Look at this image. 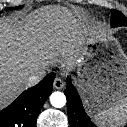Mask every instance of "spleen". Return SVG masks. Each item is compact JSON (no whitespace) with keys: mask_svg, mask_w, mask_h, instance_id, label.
Wrapping results in <instances>:
<instances>
[{"mask_svg":"<svg viewBox=\"0 0 127 127\" xmlns=\"http://www.w3.org/2000/svg\"><path fill=\"white\" fill-rule=\"evenodd\" d=\"M95 121L107 127H119L127 121V97L122 99L118 104L99 111L94 116Z\"/></svg>","mask_w":127,"mask_h":127,"instance_id":"3e777b00","label":"spleen"}]
</instances>
